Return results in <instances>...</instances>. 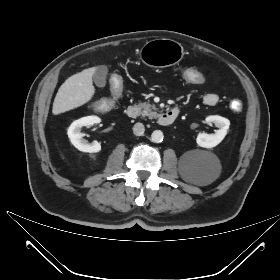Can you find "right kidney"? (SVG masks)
I'll use <instances>...</instances> for the list:
<instances>
[{"mask_svg": "<svg viewBox=\"0 0 280 280\" xmlns=\"http://www.w3.org/2000/svg\"><path fill=\"white\" fill-rule=\"evenodd\" d=\"M101 120L97 116H86L82 117L78 120H75L70 127L68 128V137L71 143L76 147L79 151L88 152V153H96L101 150V145L97 141L92 143H87L86 140H83L84 134L81 133V128L84 126H92L96 123H99Z\"/></svg>", "mask_w": 280, "mask_h": 280, "instance_id": "1", "label": "right kidney"}]
</instances>
